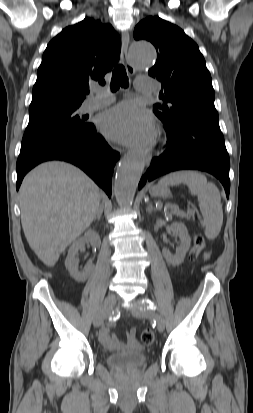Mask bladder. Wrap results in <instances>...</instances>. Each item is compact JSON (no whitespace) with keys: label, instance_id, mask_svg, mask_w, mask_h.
<instances>
[{"label":"bladder","instance_id":"bladder-1","mask_svg":"<svg viewBox=\"0 0 253 413\" xmlns=\"http://www.w3.org/2000/svg\"><path fill=\"white\" fill-rule=\"evenodd\" d=\"M107 364L115 369L134 370L141 368L147 362V356L142 348L137 347L132 350L112 353L106 358Z\"/></svg>","mask_w":253,"mask_h":413}]
</instances>
